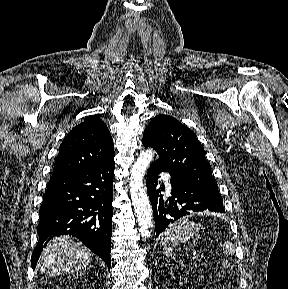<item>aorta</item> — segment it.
<instances>
[{
	"instance_id": "762f6f07",
	"label": "aorta",
	"mask_w": 288,
	"mask_h": 289,
	"mask_svg": "<svg viewBox=\"0 0 288 289\" xmlns=\"http://www.w3.org/2000/svg\"><path fill=\"white\" fill-rule=\"evenodd\" d=\"M153 159L151 150L143 151L132 166L130 176V193L134 213L143 238L150 236L153 213L148 195L143 185V176Z\"/></svg>"
}]
</instances>
